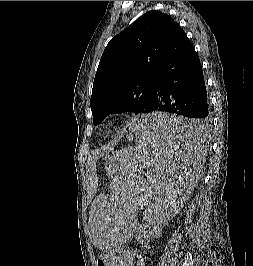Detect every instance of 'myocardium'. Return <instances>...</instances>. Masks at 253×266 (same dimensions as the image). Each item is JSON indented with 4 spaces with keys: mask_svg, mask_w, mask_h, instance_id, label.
<instances>
[{
    "mask_svg": "<svg viewBox=\"0 0 253 266\" xmlns=\"http://www.w3.org/2000/svg\"><path fill=\"white\" fill-rule=\"evenodd\" d=\"M118 122L119 118L117 116L105 117L101 122V128L106 132H110L116 128Z\"/></svg>",
    "mask_w": 253,
    "mask_h": 266,
    "instance_id": "f54148a6",
    "label": "myocardium"
}]
</instances>
